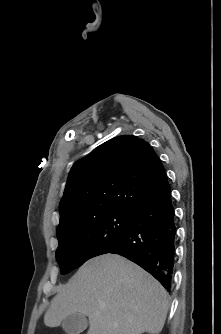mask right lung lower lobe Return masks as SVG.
<instances>
[{
    "label": "right lung lower lobe",
    "instance_id": "98d812e1",
    "mask_svg": "<svg viewBox=\"0 0 221 334\" xmlns=\"http://www.w3.org/2000/svg\"><path fill=\"white\" fill-rule=\"evenodd\" d=\"M176 224L167 183L133 213L130 224L115 247L119 254L151 273L168 291L175 258Z\"/></svg>",
    "mask_w": 221,
    "mask_h": 334
}]
</instances>
